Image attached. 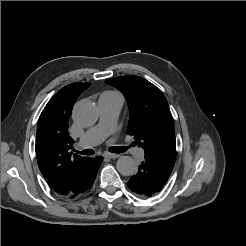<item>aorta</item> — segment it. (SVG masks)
<instances>
[{
	"instance_id": "aorta-1",
	"label": "aorta",
	"mask_w": 246,
	"mask_h": 246,
	"mask_svg": "<svg viewBox=\"0 0 246 246\" xmlns=\"http://www.w3.org/2000/svg\"><path fill=\"white\" fill-rule=\"evenodd\" d=\"M73 120L82 126H90L97 120V110L93 102L79 101L75 104L72 113ZM118 172L124 176H132L137 170L135 160L130 156H121L116 163Z\"/></svg>"
}]
</instances>
